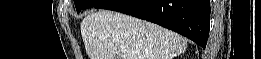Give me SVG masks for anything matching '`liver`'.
I'll use <instances>...</instances> for the list:
<instances>
[{
    "label": "liver",
    "instance_id": "1",
    "mask_svg": "<svg viewBox=\"0 0 261 59\" xmlns=\"http://www.w3.org/2000/svg\"><path fill=\"white\" fill-rule=\"evenodd\" d=\"M81 34L89 59H173L187 47L175 32L108 10L85 17Z\"/></svg>",
    "mask_w": 261,
    "mask_h": 59
}]
</instances>
